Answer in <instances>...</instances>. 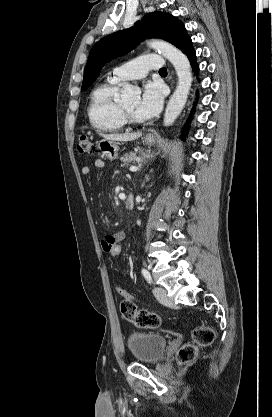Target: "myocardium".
<instances>
[{
	"instance_id": "1",
	"label": "myocardium",
	"mask_w": 272,
	"mask_h": 417,
	"mask_svg": "<svg viewBox=\"0 0 272 417\" xmlns=\"http://www.w3.org/2000/svg\"><path fill=\"white\" fill-rule=\"evenodd\" d=\"M121 113L125 124L135 125L141 122V120L133 113L121 106Z\"/></svg>"
}]
</instances>
